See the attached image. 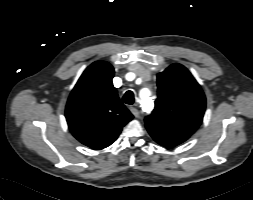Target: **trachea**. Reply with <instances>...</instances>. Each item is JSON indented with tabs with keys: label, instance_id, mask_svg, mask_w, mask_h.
Returning <instances> with one entry per match:
<instances>
[{
	"label": "trachea",
	"instance_id": "3493384b",
	"mask_svg": "<svg viewBox=\"0 0 253 200\" xmlns=\"http://www.w3.org/2000/svg\"><path fill=\"white\" fill-rule=\"evenodd\" d=\"M123 102L132 105L134 103V93L132 91H127L123 96Z\"/></svg>",
	"mask_w": 253,
	"mask_h": 200
}]
</instances>
